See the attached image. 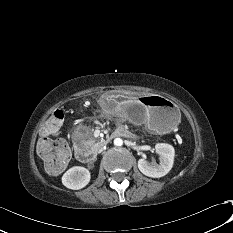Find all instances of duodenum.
<instances>
[{
    "mask_svg": "<svg viewBox=\"0 0 233 233\" xmlns=\"http://www.w3.org/2000/svg\"><path fill=\"white\" fill-rule=\"evenodd\" d=\"M129 134L126 130L122 128H117L116 131L114 132V136H123L127 137ZM76 151V157L79 161L81 162H91L95 158V153L91 150H88L82 146H76L75 148Z\"/></svg>",
    "mask_w": 233,
    "mask_h": 233,
    "instance_id": "1",
    "label": "duodenum"
}]
</instances>
